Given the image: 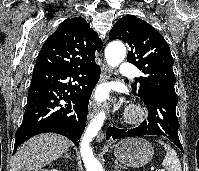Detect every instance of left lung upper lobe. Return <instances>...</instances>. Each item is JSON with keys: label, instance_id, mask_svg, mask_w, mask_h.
I'll use <instances>...</instances> for the list:
<instances>
[{"label": "left lung upper lobe", "instance_id": "obj_1", "mask_svg": "<svg viewBox=\"0 0 199 171\" xmlns=\"http://www.w3.org/2000/svg\"><path fill=\"white\" fill-rule=\"evenodd\" d=\"M109 38L129 45L127 61L144 74L139 78L138 93H158L178 100L174 89L173 58L167 42L158 31L136 16L126 15L113 26ZM132 89L136 92V83L132 84Z\"/></svg>", "mask_w": 199, "mask_h": 171}]
</instances>
